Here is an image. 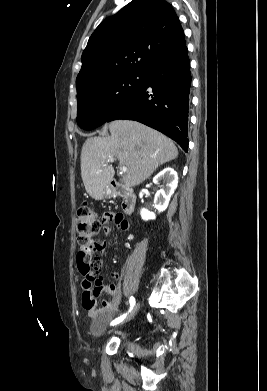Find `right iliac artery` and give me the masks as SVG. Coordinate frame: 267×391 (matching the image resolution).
I'll return each mask as SVG.
<instances>
[{"label":"right iliac artery","instance_id":"82829eb1","mask_svg":"<svg viewBox=\"0 0 267 391\" xmlns=\"http://www.w3.org/2000/svg\"><path fill=\"white\" fill-rule=\"evenodd\" d=\"M129 302H130V310H131V309L134 307V305H135V299H134V297H130ZM125 317H126V314L123 315V316H121V317H119V318L116 319L115 321H113L111 325H115V324L121 322Z\"/></svg>","mask_w":267,"mask_h":391}]
</instances>
